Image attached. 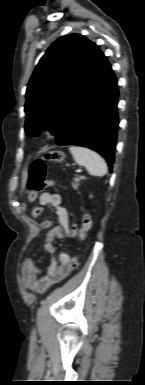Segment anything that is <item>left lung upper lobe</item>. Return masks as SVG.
<instances>
[{"instance_id": "left-lung-upper-lobe-1", "label": "left lung upper lobe", "mask_w": 145, "mask_h": 385, "mask_svg": "<svg viewBox=\"0 0 145 385\" xmlns=\"http://www.w3.org/2000/svg\"><path fill=\"white\" fill-rule=\"evenodd\" d=\"M99 48L79 34L57 39L40 59L26 90L25 132L57 133L95 64Z\"/></svg>"}]
</instances>
